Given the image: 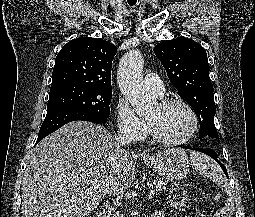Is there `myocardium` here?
Wrapping results in <instances>:
<instances>
[{
  "instance_id": "myocardium-1",
  "label": "myocardium",
  "mask_w": 255,
  "mask_h": 217,
  "mask_svg": "<svg viewBox=\"0 0 255 217\" xmlns=\"http://www.w3.org/2000/svg\"><path fill=\"white\" fill-rule=\"evenodd\" d=\"M181 105L183 106L190 114L191 119H192V127L190 132L183 138L180 139H175V140H170V139H165L159 136L151 127L150 123L149 124V130L152 135V138L159 144L165 145V146H179L188 143L191 141L194 136L196 135L198 129H199V117L193 108V106L186 100L178 97H172V98H166L160 101L159 105L162 108L169 107L171 105Z\"/></svg>"
}]
</instances>
